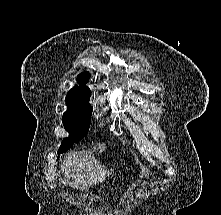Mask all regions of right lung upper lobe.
Listing matches in <instances>:
<instances>
[{
    "instance_id": "obj_1",
    "label": "right lung upper lobe",
    "mask_w": 221,
    "mask_h": 215,
    "mask_svg": "<svg viewBox=\"0 0 221 215\" xmlns=\"http://www.w3.org/2000/svg\"><path fill=\"white\" fill-rule=\"evenodd\" d=\"M90 75L88 72H84L78 75L77 82L79 86H75L67 93L66 105L70 108H78L89 104L91 91L86 87V83L89 81Z\"/></svg>"
}]
</instances>
